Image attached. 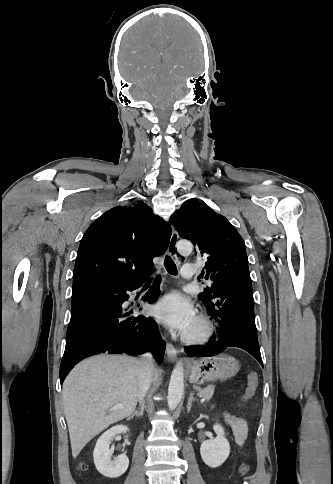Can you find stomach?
I'll return each mask as SVG.
<instances>
[{"label": "stomach", "instance_id": "1", "mask_svg": "<svg viewBox=\"0 0 333 484\" xmlns=\"http://www.w3.org/2000/svg\"><path fill=\"white\" fill-rule=\"evenodd\" d=\"M189 381L202 385L216 380L231 378L239 371L237 360L225 353L192 360L189 363Z\"/></svg>", "mask_w": 333, "mask_h": 484}]
</instances>
